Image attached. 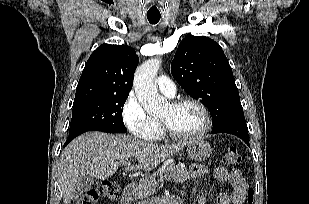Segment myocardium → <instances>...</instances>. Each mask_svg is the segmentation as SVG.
Instances as JSON below:
<instances>
[{
  "label": "myocardium",
  "mask_w": 309,
  "mask_h": 204,
  "mask_svg": "<svg viewBox=\"0 0 309 204\" xmlns=\"http://www.w3.org/2000/svg\"><path fill=\"white\" fill-rule=\"evenodd\" d=\"M184 104H193L201 110L204 117V123L202 128L198 132H195L193 134H179L174 132L164 120L159 119L163 132L174 140L184 141L194 140L204 136L210 130L212 124L211 115L208 108L201 101L192 97H184L170 102V105L175 108Z\"/></svg>",
  "instance_id": "f54148a6"
}]
</instances>
